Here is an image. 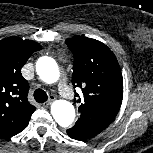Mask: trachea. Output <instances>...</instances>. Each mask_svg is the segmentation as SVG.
<instances>
[{
	"label": "trachea",
	"instance_id": "obj_1",
	"mask_svg": "<svg viewBox=\"0 0 153 153\" xmlns=\"http://www.w3.org/2000/svg\"><path fill=\"white\" fill-rule=\"evenodd\" d=\"M34 98L38 103H44L48 99L47 93L42 89H36L34 92Z\"/></svg>",
	"mask_w": 153,
	"mask_h": 153
}]
</instances>
